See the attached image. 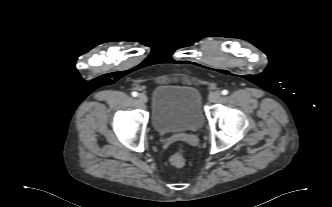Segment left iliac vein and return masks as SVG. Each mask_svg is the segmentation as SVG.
Instances as JSON below:
<instances>
[{
	"instance_id": "left-iliac-vein-1",
	"label": "left iliac vein",
	"mask_w": 332,
	"mask_h": 207,
	"mask_svg": "<svg viewBox=\"0 0 332 207\" xmlns=\"http://www.w3.org/2000/svg\"><path fill=\"white\" fill-rule=\"evenodd\" d=\"M209 102L211 103H216L218 102L220 99H221V93L216 91V92H213L209 95Z\"/></svg>"
}]
</instances>
